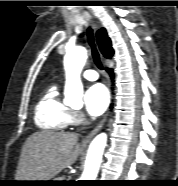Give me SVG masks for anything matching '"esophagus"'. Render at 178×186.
I'll list each match as a JSON object with an SVG mask.
<instances>
[{"instance_id": "1", "label": "esophagus", "mask_w": 178, "mask_h": 186, "mask_svg": "<svg viewBox=\"0 0 178 186\" xmlns=\"http://www.w3.org/2000/svg\"><path fill=\"white\" fill-rule=\"evenodd\" d=\"M107 116L105 118H103L96 126L95 128L86 136L85 138V142L91 140L96 133L103 127L104 123L106 122Z\"/></svg>"}]
</instances>
